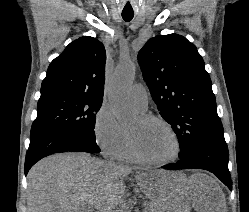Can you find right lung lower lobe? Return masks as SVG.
I'll return each mask as SVG.
<instances>
[{"label": "right lung lower lobe", "instance_id": "right-lung-lower-lobe-1", "mask_svg": "<svg viewBox=\"0 0 249 212\" xmlns=\"http://www.w3.org/2000/svg\"><path fill=\"white\" fill-rule=\"evenodd\" d=\"M99 152L95 140L68 130H54L36 134L31 137L25 158V175L40 159L59 152Z\"/></svg>", "mask_w": 249, "mask_h": 212}]
</instances>
